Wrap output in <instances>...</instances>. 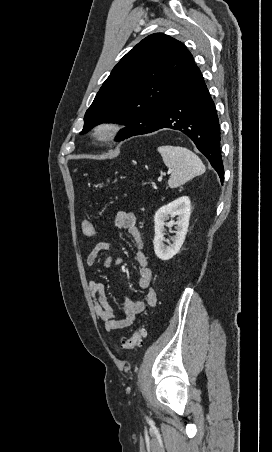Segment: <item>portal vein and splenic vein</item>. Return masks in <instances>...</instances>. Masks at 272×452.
<instances>
[{"label":"portal vein and splenic vein","instance_id":"18ae733b","mask_svg":"<svg viewBox=\"0 0 272 452\" xmlns=\"http://www.w3.org/2000/svg\"><path fill=\"white\" fill-rule=\"evenodd\" d=\"M158 181H159V182H161V181H162V176H160V177L158 178Z\"/></svg>","mask_w":272,"mask_h":452}]
</instances>
